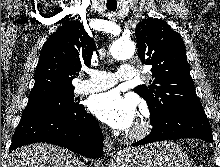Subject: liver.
<instances>
[{"label": "liver", "instance_id": "6515ba94", "mask_svg": "<svg viewBox=\"0 0 220 167\" xmlns=\"http://www.w3.org/2000/svg\"><path fill=\"white\" fill-rule=\"evenodd\" d=\"M71 152L51 144L36 143L13 151L7 167H77Z\"/></svg>", "mask_w": 220, "mask_h": 167}]
</instances>
